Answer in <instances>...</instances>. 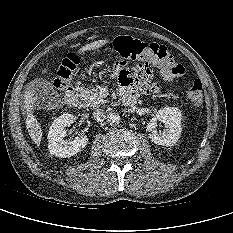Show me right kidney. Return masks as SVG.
Returning a JSON list of instances; mask_svg holds the SVG:
<instances>
[{"instance_id":"right-kidney-1","label":"right kidney","mask_w":233,"mask_h":233,"mask_svg":"<svg viewBox=\"0 0 233 233\" xmlns=\"http://www.w3.org/2000/svg\"><path fill=\"white\" fill-rule=\"evenodd\" d=\"M74 122V116L66 113L56 118L49 128L48 132V149L51 155L56 157L67 158L71 157L80 151L88 143L86 135L77 136L73 141L67 142L64 140L66 131L64 128L70 126Z\"/></svg>"}]
</instances>
